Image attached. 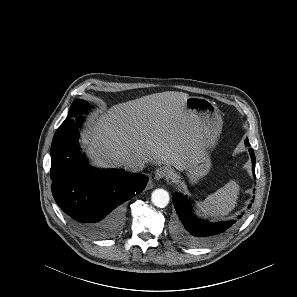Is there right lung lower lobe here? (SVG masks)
<instances>
[{
	"mask_svg": "<svg viewBox=\"0 0 297 297\" xmlns=\"http://www.w3.org/2000/svg\"><path fill=\"white\" fill-rule=\"evenodd\" d=\"M84 117L64 122L51 147L52 194L58 206L84 235L104 239L122 226V203L144 190L148 177L120 169L92 168L79 151V131Z\"/></svg>",
	"mask_w": 297,
	"mask_h": 297,
	"instance_id": "1",
	"label": "right lung lower lobe"
}]
</instances>
